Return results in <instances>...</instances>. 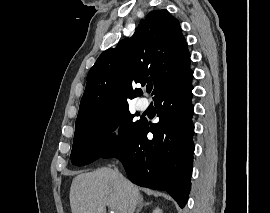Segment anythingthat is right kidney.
<instances>
[{"label":"right kidney","instance_id":"right-kidney-1","mask_svg":"<svg viewBox=\"0 0 270 213\" xmlns=\"http://www.w3.org/2000/svg\"><path fill=\"white\" fill-rule=\"evenodd\" d=\"M152 213H162V210L160 208H156Z\"/></svg>","mask_w":270,"mask_h":213}]
</instances>
